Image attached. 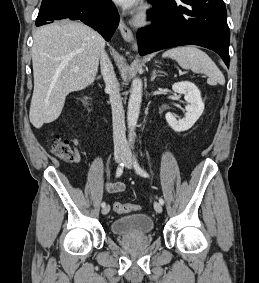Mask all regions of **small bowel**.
<instances>
[{
  "mask_svg": "<svg viewBox=\"0 0 259 283\" xmlns=\"http://www.w3.org/2000/svg\"><path fill=\"white\" fill-rule=\"evenodd\" d=\"M105 189L108 193H120L125 190V185L122 182L106 183Z\"/></svg>",
  "mask_w": 259,
  "mask_h": 283,
  "instance_id": "small-bowel-1",
  "label": "small bowel"
}]
</instances>
